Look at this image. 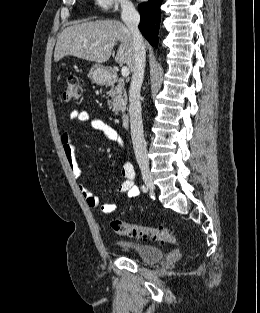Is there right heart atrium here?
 <instances>
[{"mask_svg":"<svg viewBox=\"0 0 260 313\" xmlns=\"http://www.w3.org/2000/svg\"><path fill=\"white\" fill-rule=\"evenodd\" d=\"M94 3L103 12L110 10L129 12L133 9V5L129 0H94Z\"/></svg>","mask_w":260,"mask_h":313,"instance_id":"d8ad5b80","label":"right heart atrium"}]
</instances>
